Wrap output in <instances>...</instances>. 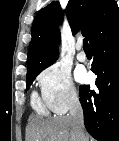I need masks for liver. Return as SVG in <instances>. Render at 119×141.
Segmentation results:
<instances>
[{"label":"liver","instance_id":"liver-1","mask_svg":"<svg viewBox=\"0 0 119 141\" xmlns=\"http://www.w3.org/2000/svg\"><path fill=\"white\" fill-rule=\"evenodd\" d=\"M86 139L87 135L85 134ZM28 141H79L70 116L32 118L28 125Z\"/></svg>","mask_w":119,"mask_h":141}]
</instances>
